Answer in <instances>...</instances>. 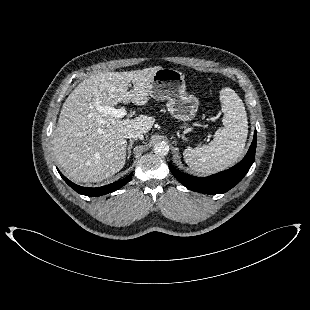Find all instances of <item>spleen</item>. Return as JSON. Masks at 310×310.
I'll return each instance as SVG.
<instances>
[{
	"label": "spleen",
	"instance_id": "3e777b00",
	"mask_svg": "<svg viewBox=\"0 0 310 310\" xmlns=\"http://www.w3.org/2000/svg\"><path fill=\"white\" fill-rule=\"evenodd\" d=\"M220 101L224 127L219 128L208 145L187 148L184 160L194 171L212 174L233 165L242 155L247 140L248 121L244 103L231 88H223Z\"/></svg>",
	"mask_w": 310,
	"mask_h": 310
}]
</instances>
